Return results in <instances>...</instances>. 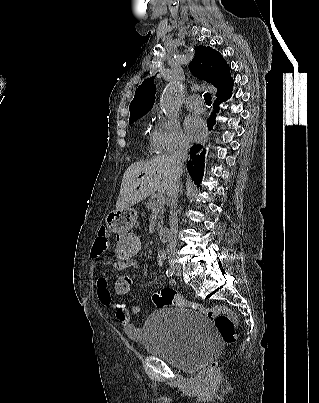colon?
<instances>
[{"mask_svg":"<svg viewBox=\"0 0 319 403\" xmlns=\"http://www.w3.org/2000/svg\"><path fill=\"white\" fill-rule=\"evenodd\" d=\"M111 229V228H109ZM143 253L142 234H116L114 245L115 268H137V254ZM130 270H115L114 281L110 282L113 291L123 300L124 304L132 303V287L129 286ZM153 302L159 308L177 306L180 308H190L204 314L214 321L215 328L222 341L227 345H232L236 341V314L225 306L205 307L196 302L185 300L172 288H164L153 295ZM216 362L210 364L209 369L214 370Z\"/></svg>","mask_w":319,"mask_h":403,"instance_id":"5ec220e1","label":"colon"}]
</instances>
